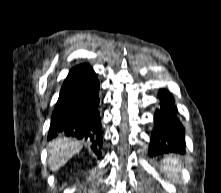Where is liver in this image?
I'll return each instance as SVG.
<instances>
[{"label": "liver", "instance_id": "obj_1", "mask_svg": "<svg viewBox=\"0 0 221 193\" xmlns=\"http://www.w3.org/2000/svg\"><path fill=\"white\" fill-rule=\"evenodd\" d=\"M82 144L77 140L59 138L48 144V164L52 171L58 170L65 165L75 154L79 153Z\"/></svg>", "mask_w": 221, "mask_h": 193}]
</instances>
